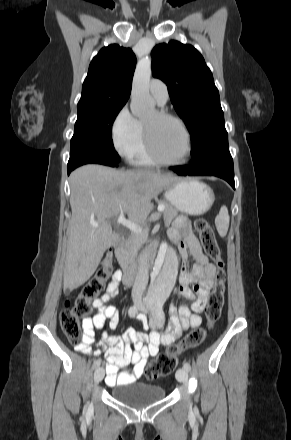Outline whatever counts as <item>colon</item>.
Masks as SVG:
<instances>
[{
    "mask_svg": "<svg viewBox=\"0 0 291 440\" xmlns=\"http://www.w3.org/2000/svg\"><path fill=\"white\" fill-rule=\"evenodd\" d=\"M195 229L199 234L205 254L216 265V279L205 308L207 320L213 324L220 318L224 303V262L210 223L206 219L198 218L195 221ZM111 274L112 264L111 256L109 255L101 263L95 277L77 296L74 306L61 311L59 317L61 329L69 341L73 343H81L83 341V330L80 326V320L90 314L91 300L103 291ZM205 335V330L198 328L181 342L170 344L165 352L160 354L158 359L147 368L146 377L155 380L170 375L175 370L177 356L185 349L199 344L205 338Z\"/></svg>",
    "mask_w": 291,
    "mask_h": 440,
    "instance_id": "1",
    "label": "colon"
}]
</instances>
